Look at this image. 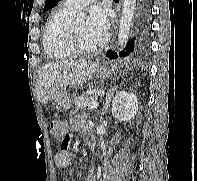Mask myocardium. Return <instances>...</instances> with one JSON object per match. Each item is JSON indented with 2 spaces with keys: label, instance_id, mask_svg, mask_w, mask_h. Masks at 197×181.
<instances>
[{
  "label": "myocardium",
  "instance_id": "obj_1",
  "mask_svg": "<svg viewBox=\"0 0 197 181\" xmlns=\"http://www.w3.org/2000/svg\"><path fill=\"white\" fill-rule=\"evenodd\" d=\"M74 24L75 23H70L69 29H68V44H69L70 48L77 55H82V56L93 55V54L97 53L98 51H100L101 48L103 47V42H100L97 46L92 47V48L84 47L80 43V41L77 37V33H76V29H75Z\"/></svg>",
  "mask_w": 197,
  "mask_h": 181
}]
</instances>
